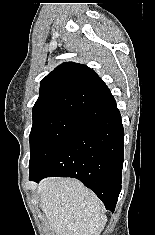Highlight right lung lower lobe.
I'll return each mask as SVG.
<instances>
[{
    "mask_svg": "<svg viewBox=\"0 0 155 235\" xmlns=\"http://www.w3.org/2000/svg\"><path fill=\"white\" fill-rule=\"evenodd\" d=\"M98 120L73 136L41 170L30 172L39 182L49 176L73 177L114 211L121 191L124 129L114 97L104 83L87 91Z\"/></svg>",
    "mask_w": 155,
    "mask_h": 235,
    "instance_id": "right-lung-lower-lobe-1",
    "label": "right lung lower lobe"
}]
</instances>
